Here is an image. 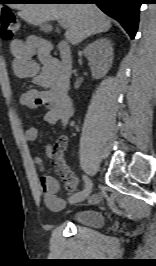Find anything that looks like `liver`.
<instances>
[{"label": "liver", "instance_id": "obj_1", "mask_svg": "<svg viewBox=\"0 0 156 266\" xmlns=\"http://www.w3.org/2000/svg\"><path fill=\"white\" fill-rule=\"evenodd\" d=\"M12 7L18 9V16L31 25L63 20L67 24L65 38L73 45L111 28L110 18L91 4H14Z\"/></svg>", "mask_w": 156, "mask_h": 266}]
</instances>
